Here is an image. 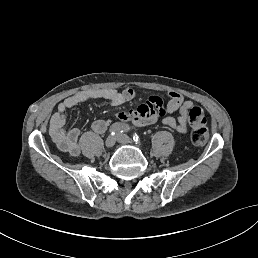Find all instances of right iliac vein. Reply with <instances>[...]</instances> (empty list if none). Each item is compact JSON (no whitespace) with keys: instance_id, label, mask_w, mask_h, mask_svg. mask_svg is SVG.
I'll return each instance as SVG.
<instances>
[{"instance_id":"obj_1","label":"right iliac vein","mask_w":258,"mask_h":258,"mask_svg":"<svg viewBox=\"0 0 258 258\" xmlns=\"http://www.w3.org/2000/svg\"><path fill=\"white\" fill-rule=\"evenodd\" d=\"M115 143H116V138L113 135L108 136L105 140V146L107 148H112L115 145Z\"/></svg>"}]
</instances>
